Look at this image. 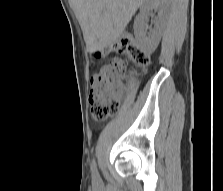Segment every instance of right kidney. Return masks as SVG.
Segmentation results:
<instances>
[{"instance_id": "ca27d5eb", "label": "right kidney", "mask_w": 223, "mask_h": 191, "mask_svg": "<svg viewBox=\"0 0 223 191\" xmlns=\"http://www.w3.org/2000/svg\"><path fill=\"white\" fill-rule=\"evenodd\" d=\"M167 4V0H146L140 8V13L134 21V32L139 47L144 52H154L159 44L165 24V10ZM153 9L158 10V19L155 22L154 29L147 32L148 26L146 21Z\"/></svg>"}]
</instances>
